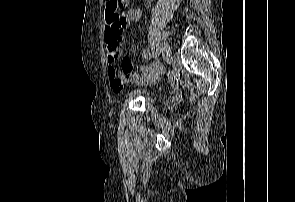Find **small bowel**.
<instances>
[{
  "label": "small bowel",
  "mask_w": 295,
  "mask_h": 202,
  "mask_svg": "<svg viewBox=\"0 0 295 202\" xmlns=\"http://www.w3.org/2000/svg\"><path fill=\"white\" fill-rule=\"evenodd\" d=\"M141 15V10L134 7L129 8L124 12L123 19H112L110 15L107 14V23L105 29L107 64L110 85L115 92H120L124 84L133 82L140 83L149 80V78L153 76L160 68L159 62H154L150 65L141 67L140 72H135V63H131V59H120L123 73H120L115 66V62L122 55V50L118 46V39L121 36L124 26L126 24H134L138 22L141 18ZM141 55L146 59H150L153 56L152 52L148 49H143L141 51Z\"/></svg>",
  "instance_id": "c3829d8e"
}]
</instances>
